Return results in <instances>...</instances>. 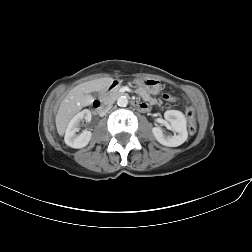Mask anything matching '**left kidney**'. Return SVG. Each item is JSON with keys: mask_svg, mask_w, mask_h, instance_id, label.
<instances>
[{"mask_svg": "<svg viewBox=\"0 0 252 252\" xmlns=\"http://www.w3.org/2000/svg\"><path fill=\"white\" fill-rule=\"evenodd\" d=\"M164 118L169 122L170 129L177 133V135H166L160 127H154L152 133L156 140L168 147H177L183 144L188 137L187 122L184 114L177 110H168L164 113Z\"/></svg>", "mask_w": 252, "mask_h": 252, "instance_id": "5707ae66", "label": "left kidney"}]
</instances>
